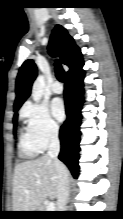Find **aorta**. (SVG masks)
I'll return each mask as SVG.
<instances>
[{
  "mask_svg": "<svg viewBox=\"0 0 123 219\" xmlns=\"http://www.w3.org/2000/svg\"><path fill=\"white\" fill-rule=\"evenodd\" d=\"M45 88V77L40 75L36 78L32 86V98L35 102H39L42 99Z\"/></svg>",
  "mask_w": 123,
  "mask_h": 219,
  "instance_id": "aorta-1",
  "label": "aorta"
}]
</instances>
